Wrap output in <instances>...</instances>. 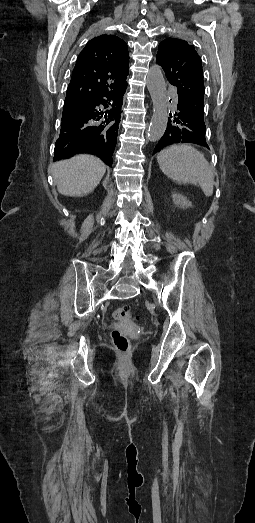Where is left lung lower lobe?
<instances>
[{"instance_id": "0a47b994", "label": "left lung lower lobe", "mask_w": 255, "mask_h": 523, "mask_svg": "<svg viewBox=\"0 0 255 523\" xmlns=\"http://www.w3.org/2000/svg\"><path fill=\"white\" fill-rule=\"evenodd\" d=\"M191 110L186 109L181 103H177L167 117L168 126L164 129L163 137L157 140L152 149L154 154H159L162 147L168 146H202L209 150L211 145L206 140L207 126L203 121L197 120L195 115H190Z\"/></svg>"}]
</instances>
